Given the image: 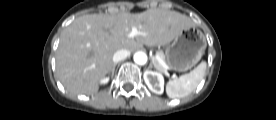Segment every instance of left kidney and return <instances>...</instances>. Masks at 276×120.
<instances>
[{"instance_id": "1", "label": "left kidney", "mask_w": 276, "mask_h": 120, "mask_svg": "<svg viewBox=\"0 0 276 120\" xmlns=\"http://www.w3.org/2000/svg\"><path fill=\"white\" fill-rule=\"evenodd\" d=\"M144 80L148 88L156 93L162 94L164 90V78L163 76L155 71L146 70L144 72Z\"/></svg>"}]
</instances>
